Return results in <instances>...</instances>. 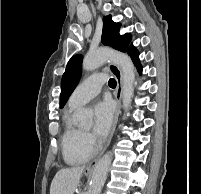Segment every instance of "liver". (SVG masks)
Returning a JSON list of instances; mask_svg holds the SVG:
<instances>
[{
  "mask_svg": "<svg viewBox=\"0 0 201 194\" xmlns=\"http://www.w3.org/2000/svg\"><path fill=\"white\" fill-rule=\"evenodd\" d=\"M85 166L59 170L51 183L50 194H74Z\"/></svg>",
  "mask_w": 201,
  "mask_h": 194,
  "instance_id": "1",
  "label": "liver"
}]
</instances>
